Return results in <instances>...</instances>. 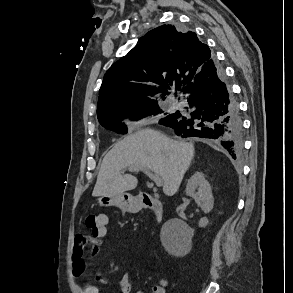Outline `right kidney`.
Instances as JSON below:
<instances>
[{
    "mask_svg": "<svg viewBox=\"0 0 293 293\" xmlns=\"http://www.w3.org/2000/svg\"><path fill=\"white\" fill-rule=\"evenodd\" d=\"M186 194L195 200L205 214L213 209L214 198L211 186L205 180L203 173L197 172L188 180ZM174 223H179L181 229L173 230ZM208 223V219L204 217L199 221V227H206ZM193 233L194 231L186 223L171 219L161 230V242L168 253L178 255L180 251L190 247Z\"/></svg>",
    "mask_w": 293,
    "mask_h": 293,
    "instance_id": "ca27d5eb",
    "label": "right kidney"
}]
</instances>
